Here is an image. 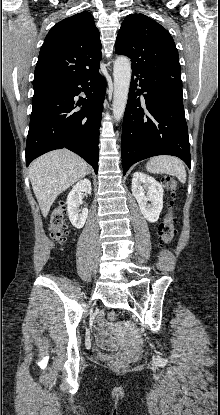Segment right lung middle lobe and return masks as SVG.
I'll return each instance as SVG.
<instances>
[{"label":"right lung middle lobe","instance_id":"obj_1","mask_svg":"<svg viewBox=\"0 0 220 415\" xmlns=\"http://www.w3.org/2000/svg\"><path fill=\"white\" fill-rule=\"evenodd\" d=\"M63 83H41V84H34V95L32 98V102H36L43 98L52 96L60 92L61 88L63 87Z\"/></svg>","mask_w":220,"mask_h":415}]
</instances>
